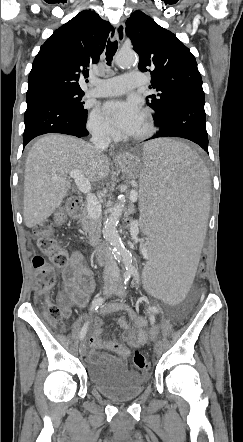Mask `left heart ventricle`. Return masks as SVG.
Returning <instances> with one entry per match:
<instances>
[{
	"label": "left heart ventricle",
	"instance_id": "left-heart-ventricle-1",
	"mask_svg": "<svg viewBox=\"0 0 243 442\" xmlns=\"http://www.w3.org/2000/svg\"><path fill=\"white\" fill-rule=\"evenodd\" d=\"M147 129V120L145 116L142 114V117L140 121L138 122L137 126L134 128V130L130 133V135H138L143 133Z\"/></svg>",
	"mask_w": 243,
	"mask_h": 442
}]
</instances>
